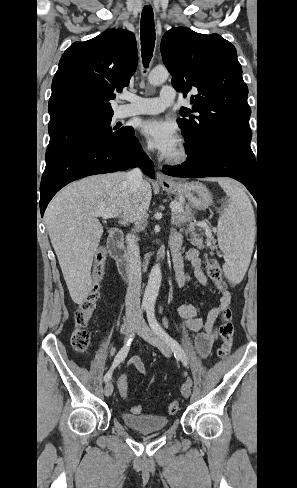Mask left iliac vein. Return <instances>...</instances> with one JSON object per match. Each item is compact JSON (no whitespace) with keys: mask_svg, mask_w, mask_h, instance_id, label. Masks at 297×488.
I'll return each instance as SVG.
<instances>
[{"mask_svg":"<svg viewBox=\"0 0 297 488\" xmlns=\"http://www.w3.org/2000/svg\"><path fill=\"white\" fill-rule=\"evenodd\" d=\"M137 333L147 342L157 347L165 357H170L172 351L168 343L161 338L155 331L151 330L145 321L141 319L137 326ZM192 381H186L181 388L183 397L188 398L191 394Z\"/></svg>","mask_w":297,"mask_h":488,"instance_id":"left-iliac-vein-1","label":"left iliac vein"}]
</instances>
